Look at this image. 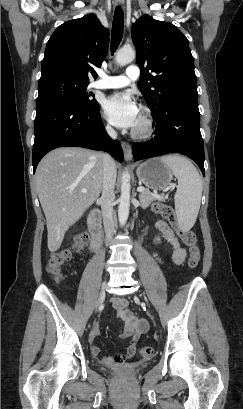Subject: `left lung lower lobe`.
I'll use <instances>...</instances> for the list:
<instances>
[{"label": "left lung lower lobe", "mask_w": 243, "mask_h": 409, "mask_svg": "<svg viewBox=\"0 0 243 409\" xmlns=\"http://www.w3.org/2000/svg\"><path fill=\"white\" fill-rule=\"evenodd\" d=\"M198 94L186 93L171 99L153 114L156 137L133 146L135 160L180 153L194 160L203 175L204 145L200 133Z\"/></svg>", "instance_id": "left-lung-lower-lobe-1"}]
</instances>
